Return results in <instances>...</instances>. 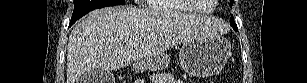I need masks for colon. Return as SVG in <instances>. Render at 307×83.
<instances>
[{
    "label": "colon",
    "instance_id": "obj_1",
    "mask_svg": "<svg viewBox=\"0 0 307 83\" xmlns=\"http://www.w3.org/2000/svg\"><path fill=\"white\" fill-rule=\"evenodd\" d=\"M208 83H212V81H207Z\"/></svg>",
    "mask_w": 307,
    "mask_h": 83
}]
</instances>
